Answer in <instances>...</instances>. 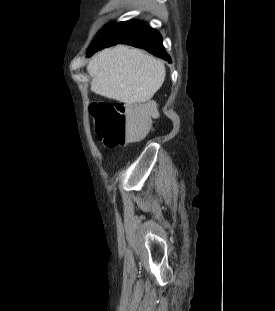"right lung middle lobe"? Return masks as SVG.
<instances>
[{"label": "right lung middle lobe", "mask_w": 275, "mask_h": 311, "mask_svg": "<svg viewBox=\"0 0 275 311\" xmlns=\"http://www.w3.org/2000/svg\"><path fill=\"white\" fill-rule=\"evenodd\" d=\"M141 24L135 21H125L120 23H110L98 33V38L93 41L87 50V55L91 56L95 52L113 45L121 43L131 35Z\"/></svg>", "instance_id": "dd1d6c3e"}]
</instances>
